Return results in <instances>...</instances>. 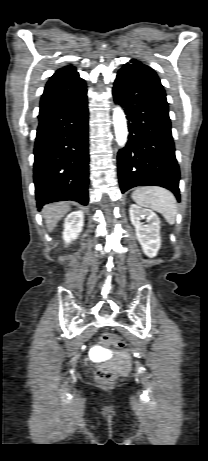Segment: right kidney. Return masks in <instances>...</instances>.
<instances>
[{
	"instance_id": "obj_1",
	"label": "right kidney",
	"mask_w": 208,
	"mask_h": 461,
	"mask_svg": "<svg viewBox=\"0 0 208 461\" xmlns=\"http://www.w3.org/2000/svg\"><path fill=\"white\" fill-rule=\"evenodd\" d=\"M84 225V214L83 212L76 211L71 212L64 221L63 239L65 243H70L75 240L79 233L82 231Z\"/></svg>"
}]
</instances>
